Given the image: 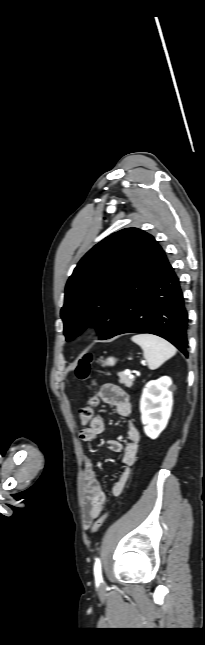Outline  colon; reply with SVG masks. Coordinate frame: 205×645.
<instances>
[{"label": "colon", "instance_id": "colon-1", "mask_svg": "<svg viewBox=\"0 0 205 645\" xmlns=\"http://www.w3.org/2000/svg\"><path fill=\"white\" fill-rule=\"evenodd\" d=\"M92 361H93V357L91 354H86L82 359L79 360L75 369L76 377L79 380L81 381L90 380ZM92 384L95 385L93 381H92ZM97 404H98V399L96 396H93L88 400L86 406L82 407L79 410V420L83 425L91 422V420L94 417V407ZM107 517H108V513H105L95 520V522L92 525L93 534L99 531V529L101 528V526L103 525Z\"/></svg>", "mask_w": 205, "mask_h": 645}]
</instances>
